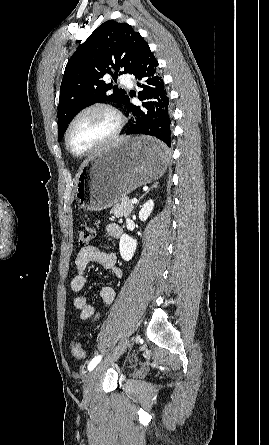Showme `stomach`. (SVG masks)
<instances>
[{
  "mask_svg": "<svg viewBox=\"0 0 269 445\" xmlns=\"http://www.w3.org/2000/svg\"><path fill=\"white\" fill-rule=\"evenodd\" d=\"M154 142L150 137H126L95 153L77 176L78 206L86 211L105 210L162 176L169 163L168 154L152 156L145 152V146Z\"/></svg>",
  "mask_w": 269,
  "mask_h": 445,
  "instance_id": "stomach-1",
  "label": "stomach"
}]
</instances>
